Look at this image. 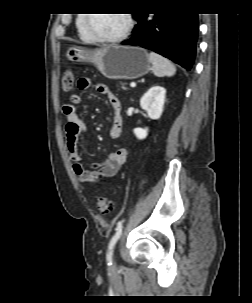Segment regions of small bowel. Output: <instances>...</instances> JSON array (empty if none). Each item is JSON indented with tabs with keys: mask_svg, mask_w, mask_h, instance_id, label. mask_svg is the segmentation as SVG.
<instances>
[{
	"mask_svg": "<svg viewBox=\"0 0 252 303\" xmlns=\"http://www.w3.org/2000/svg\"><path fill=\"white\" fill-rule=\"evenodd\" d=\"M80 90H88L94 87L98 92L105 94L112 106V123L110 127V137L118 139L123 128L122 106L119 98L113 91L103 83H93L89 78H81L78 81ZM83 98L79 94H72L69 102L63 105L62 111L66 117L65 137L66 145L72 161H74L73 170L82 182L98 183L101 180L114 177L121 167L125 164L127 158L126 148H118L110 153L102 162L95 163L91 170H86L80 159L79 140L87 131L86 124L79 117L76 106L82 104Z\"/></svg>",
	"mask_w": 252,
	"mask_h": 303,
	"instance_id": "1",
	"label": "small bowel"
}]
</instances>
